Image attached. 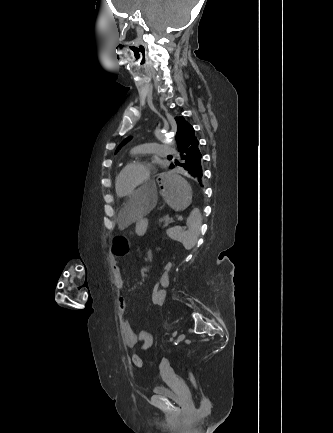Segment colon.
Wrapping results in <instances>:
<instances>
[{
	"mask_svg": "<svg viewBox=\"0 0 333 433\" xmlns=\"http://www.w3.org/2000/svg\"><path fill=\"white\" fill-rule=\"evenodd\" d=\"M131 243V238L130 236H114L113 240L111 241V248H112V256L113 258H124L125 253H128L129 251V246ZM164 271H162V276H160V279H163V276H167V272L172 271L173 266L171 261H166L165 266H164ZM158 284H161V281H158ZM159 286L158 285H153V290L151 293V303L154 304L155 308H160L161 307V294L159 293ZM132 364L136 367V368H141L143 366V362L142 359L139 355H133L132 356ZM189 378L192 382V384L198 388L197 386V382L193 376L192 373L189 374Z\"/></svg>",
	"mask_w": 333,
	"mask_h": 433,
	"instance_id": "5ec220e1",
	"label": "colon"
}]
</instances>
